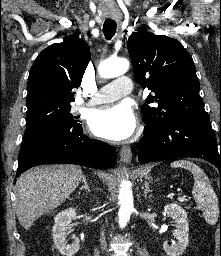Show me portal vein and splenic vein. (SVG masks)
<instances>
[{
    "instance_id": "1",
    "label": "portal vein and splenic vein",
    "mask_w": 221,
    "mask_h": 256,
    "mask_svg": "<svg viewBox=\"0 0 221 256\" xmlns=\"http://www.w3.org/2000/svg\"><path fill=\"white\" fill-rule=\"evenodd\" d=\"M178 201L184 202V201H186V197L185 196L178 197Z\"/></svg>"
}]
</instances>
